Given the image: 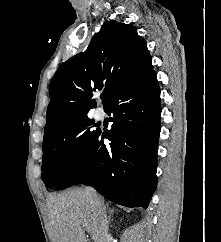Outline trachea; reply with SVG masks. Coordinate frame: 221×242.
Returning <instances> with one entry per match:
<instances>
[{"mask_svg":"<svg viewBox=\"0 0 221 242\" xmlns=\"http://www.w3.org/2000/svg\"><path fill=\"white\" fill-rule=\"evenodd\" d=\"M104 98V95L103 96H101V99H103Z\"/></svg>","mask_w":221,"mask_h":242,"instance_id":"trachea-1","label":"trachea"}]
</instances>
